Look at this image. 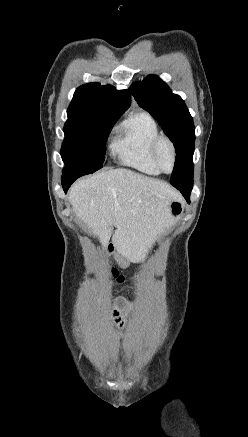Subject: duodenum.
I'll return each mask as SVG.
<instances>
[{"label":"duodenum","instance_id":"1","mask_svg":"<svg viewBox=\"0 0 248 437\" xmlns=\"http://www.w3.org/2000/svg\"><path fill=\"white\" fill-rule=\"evenodd\" d=\"M112 251H114V246H109V250H106V255H112Z\"/></svg>","mask_w":248,"mask_h":437}]
</instances>
